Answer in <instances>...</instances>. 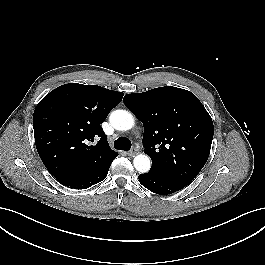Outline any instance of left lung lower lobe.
I'll use <instances>...</instances> for the list:
<instances>
[{
	"instance_id": "1",
	"label": "left lung lower lobe",
	"mask_w": 265,
	"mask_h": 265,
	"mask_svg": "<svg viewBox=\"0 0 265 265\" xmlns=\"http://www.w3.org/2000/svg\"><path fill=\"white\" fill-rule=\"evenodd\" d=\"M138 178L145 188L156 194H171L188 185L154 169L139 175Z\"/></svg>"
}]
</instances>
